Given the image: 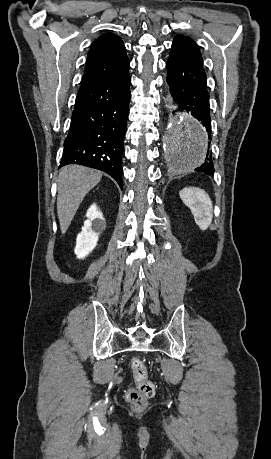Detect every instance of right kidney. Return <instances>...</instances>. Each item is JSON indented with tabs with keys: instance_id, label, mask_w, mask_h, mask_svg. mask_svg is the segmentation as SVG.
I'll list each match as a JSON object with an SVG mask.
<instances>
[{
	"instance_id": "ca27d5eb",
	"label": "right kidney",
	"mask_w": 271,
	"mask_h": 459,
	"mask_svg": "<svg viewBox=\"0 0 271 459\" xmlns=\"http://www.w3.org/2000/svg\"><path fill=\"white\" fill-rule=\"evenodd\" d=\"M86 216L88 220L84 222V226L81 228L82 231L77 235L76 247L74 249L77 257H80V259L94 249L99 233H102L106 228L105 218H103L102 212H99L96 204H93L89 208Z\"/></svg>"
}]
</instances>
